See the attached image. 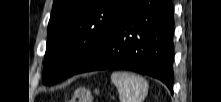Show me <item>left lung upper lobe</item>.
I'll return each instance as SVG.
<instances>
[{"label":"left lung upper lobe","instance_id":"left-lung-upper-lobe-1","mask_svg":"<svg viewBox=\"0 0 221 102\" xmlns=\"http://www.w3.org/2000/svg\"><path fill=\"white\" fill-rule=\"evenodd\" d=\"M130 0H54L43 83L71 77L112 29Z\"/></svg>","mask_w":221,"mask_h":102}]
</instances>
